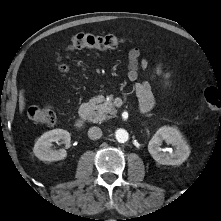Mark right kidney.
Instances as JSON below:
<instances>
[{
  "instance_id": "1",
  "label": "right kidney",
  "mask_w": 221,
  "mask_h": 221,
  "mask_svg": "<svg viewBox=\"0 0 221 221\" xmlns=\"http://www.w3.org/2000/svg\"><path fill=\"white\" fill-rule=\"evenodd\" d=\"M63 140L69 147L70 133L63 129H54L44 133L35 143L33 152L42 161H59L67 156L65 149L51 150L52 142Z\"/></svg>"
}]
</instances>
